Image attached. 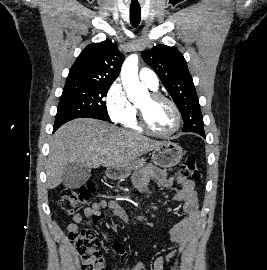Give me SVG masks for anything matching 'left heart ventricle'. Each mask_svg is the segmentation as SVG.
<instances>
[{
  "instance_id": "b2bd125f",
  "label": "left heart ventricle",
  "mask_w": 267,
  "mask_h": 270,
  "mask_svg": "<svg viewBox=\"0 0 267 270\" xmlns=\"http://www.w3.org/2000/svg\"><path fill=\"white\" fill-rule=\"evenodd\" d=\"M138 106L144 110L147 122L154 130L167 133L173 129L175 114L166 102L152 100L148 95Z\"/></svg>"
}]
</instances>
